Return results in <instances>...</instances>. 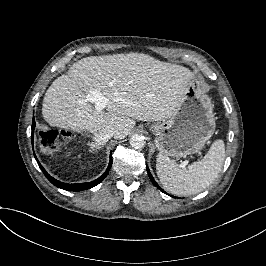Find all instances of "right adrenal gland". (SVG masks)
I'll return each instance as SVG.
<instances>
[{"label": "right adrenal gland", "instance_id": "obj_1", "mask_svg": "<svg viewBox=\"0 0 266 266\" xmlns=\"http://www.w3.org/2000/svg\"><path fill=\"white\" fill-rule=\"evenodd\" d=\"M88 145L90 146V148H91V152H92V153L97 152V150L103 148V146H99L98 144L93 143V142H91V143L88 142Z\"/></svg>", "mask_w": 266, "mask_h": 266}]
</instances>
